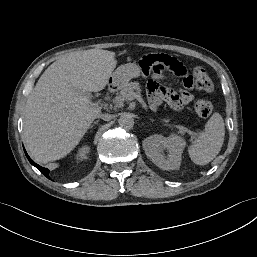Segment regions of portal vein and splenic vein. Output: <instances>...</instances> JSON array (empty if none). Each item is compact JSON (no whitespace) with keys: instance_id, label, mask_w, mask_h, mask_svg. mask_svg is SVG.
I'll use <instances>...</instances> for the list:
<instances>
[{"instance_id":"18ae733b","label":"portal vein and splenic vein","mask_w":257,"mask_h":257,"mask_svg":"<svg viewBox=\"0 0 257 257\" xmlns=\"http://www.w3.org/2000/svg\"><path fill=\"white\" fill-rule=\"evenodd\" d=\"M136 97H137V94H136V93H131V94H129V96H128V100L132 101V100H134ZM178 128H179V130H180L181 132H187V129H186L185 127H183V126H178Z\"/></svg>"}]
</instances>
